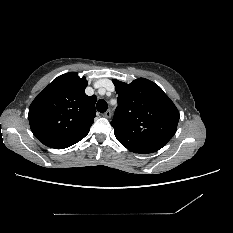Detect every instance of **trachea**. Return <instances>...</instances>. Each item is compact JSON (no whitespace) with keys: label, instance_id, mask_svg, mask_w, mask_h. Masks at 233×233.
Returning <instances> with one entry per match:
<instances>
[{"label":"trachea","instance_id":"obj_1","mask_svg":"<svg viewBox=\"0 0 233 233\" xmlns=\"http://www.w3.org/2000/svg\"><path fill=\"white\" fill-rule=\"evenodd\" d=\"M96 108L100 113H104L108 108V104L105 100L100 99L96 104Z\"/></svg>","mask_w":233,"mask_h":233}]
</instances>
